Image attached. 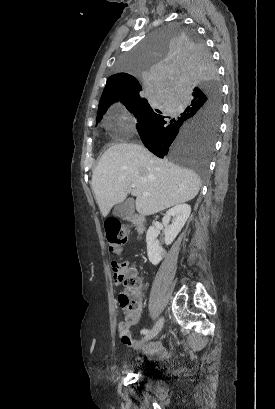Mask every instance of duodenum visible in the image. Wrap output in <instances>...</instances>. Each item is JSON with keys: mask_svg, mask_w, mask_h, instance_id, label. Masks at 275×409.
<instances>
[{"mask_svg": "<svg viewBox=\"0 0 275 409\" xmlns=\"http://www.w3.org/2000/svg\"><path fill=\"white\" fill-rule=\"evenodd\" d=\"M130 221L133 223V225L135 226V228H136V230H137V232L139 233V234H141V233H143V231H144V217L142 216V215H139V214H135V215H132L131 217H130Z\"/></svg>", "mask_w": 275, "mask_h": 409, "instance_id": "obj_1", "label": "duodenum"}]
</instances>
